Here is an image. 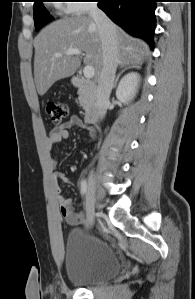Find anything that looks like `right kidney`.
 <instances>
[{
	"mask_svg": "<svg viewBox=\"0 0 195 299\" xmlns=\"http://www.w3.org/2000/svg\"><path fill=\"white\" fill-rule=\"evenodd\" d=\"M140 75L136 72H131L125 75L116 90L117 99L123 103L128 104L136 96Z\"/></svg>",
	"mask_w": 195,
	"mask_h": 299,
	"instance_id": "obj_1",
	"label": "right kidney"
}]
</instances>
